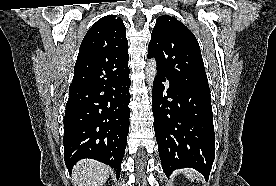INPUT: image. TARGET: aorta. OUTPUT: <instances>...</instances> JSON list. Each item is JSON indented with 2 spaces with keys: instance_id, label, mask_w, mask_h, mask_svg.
Wrapping results in <instances>:
<instances>
[{
  "instance_id": "1",
  "label": "aorta",
  "mask_w": 276,
  "mask_h": 186,
  "mask_svg": "<svg viewBox=\"0 0 276 186\" xmlns=\"http://www.w3.org/2000/svg\"><path fill=\"white\" fill-rule=\"evenodd\" d=\"M157 73V64H156V60L155 59H150L146 69H145V75H146V79H147V83L152 86L155 76Z\"/></svg>"
}]
</instances>
